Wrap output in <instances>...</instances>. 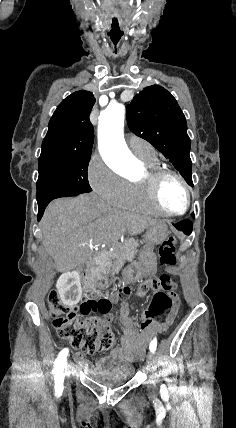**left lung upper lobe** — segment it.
I'll return each instance as SVG.
<instances>
[{
    "instance_id": "left-lung-upper-lobe-1",
    "label": "left lung upper lobe",
    "mask_w": 236,
    "mask_h": 428,
    "mask_svg": "<svg viewBox=\"0 0 236 428\" xmlns=\"http://www.w3.org/2000/svg\"><path fill=\"white\" fill-rule=\"evenodd\" d=\"M127 123L133 133L157 148L193 186L186 119L166 89L152 85L137 94L127 106Z\"/></svg>"
}]
</instances>
